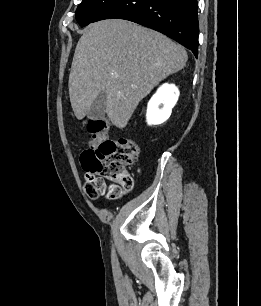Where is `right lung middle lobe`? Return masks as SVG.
Listing matches in <instances>:
<instances>
[{
	"instance_id": "right-lung-middle-lobe-1",
	"label": "right lung middle lobe",
	"mask_w": 261,
	"mask_h": 306,
	"mask_svg": "<svg viewBox=\"0 0 261 306\" xmlns=\"http://www.w3.org/2000/svg\"><path fill=\"white\" fill-rule=\"evenodd\" d=\"M115 0H82L76 10V20L84 27L92 23Z\"/></svg>"
}]
</instances>
